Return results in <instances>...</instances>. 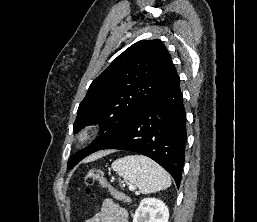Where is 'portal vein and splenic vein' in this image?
<instances>
[{"label": "portal vein and splenic vein", "instance_id": "obj_1", "mask_svg": "<svg viewBox=\"0 0 257 222\" xmlns=\"http://www.w3.org/2000/svg\"><path fill=\"white\" fill-rule=\"evenodd\" d=\"M129 190H134V187L133 186H129Z\"/></svg>", "mask_w": 257, "mask_h": 222}]
</instances>
